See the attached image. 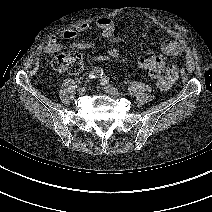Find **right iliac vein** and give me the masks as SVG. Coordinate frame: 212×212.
Instances as JSON below:
<instances>
[{"label": "right iliac vein", "instance_id": "right-iliac-vein-1", "mask_svg": "<svg viewBox=\"0 0 212 212\" xmlns=\"http://www.w3.org/2000/svg\"><path fill=\"white\" fill-rule=\"evenodd\" d=\"M78 91H79L80 95H84L87 91V88L86 87H80Z\"/></svg>", "mask_w": 212, "mask_h": 212}]
</instances>
